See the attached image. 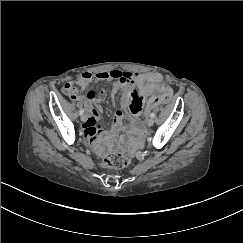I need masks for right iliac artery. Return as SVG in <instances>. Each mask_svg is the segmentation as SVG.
Returning a JSON list of instances; mask_svg holds the SVG:
<instances>
[{
    "label": "right iliac artery",
    "instance_id": "obj_1",
    "mask_svg": "<svg viewBox=\"0 0 243 243\" xmlns=\"http://www.w3.org/2000/svg\"><path fill=\"white\" fill-rule=\"evenodd\" d=\"M83 113H84V109H81V110L79 111V114L82 115Z\"/></svg>",
    "mask_w": 243,
    "mask_h": 243
}]
</instances>
